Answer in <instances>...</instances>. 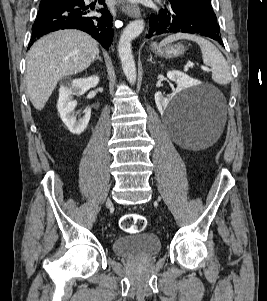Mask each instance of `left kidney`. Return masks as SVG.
Segmentation results:
<instances>
[{"mask_svg": "<svg viewBox=\"0 0 267 301\" xmlns=\"http://www.w3.org/2000/svg\"><path fill=\"white\" fill-rule=\"evenodd\" d=\"M167 77L171 81L176 82L177 92H180L182 90L193 87L196 82L195 80L190 78L188 75H186L180 71H177V70L169 71L167 73ZM170 100H171V98L163 97L162 94L159 92L155 94V102L160 111H163L164 109H166Z\"/></svg>", "mask_w": 267, "mask_h": 301, "instance_id": "5707ae66", "label": "left kidney"}]
</instances>
